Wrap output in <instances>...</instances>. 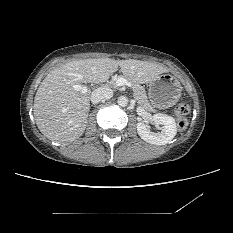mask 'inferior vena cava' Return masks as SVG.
Listing matches in <instances>:
<instances>
[{
    "label": "inferior vena cava",
    "mask_w": 233,
    "mask_h": 233,
    "mask_svg": "<svg viewBox=\"0 0 233 233\" xmlns=\"http://www.w3.org/2000/svg\"><path fill=\"white\" fill-rule=\"evenodd\" d=\"M113 91L108 87H100L95 89L90 97V100L93 104H97L102 100H108L112 98Z\"/></svg>",
    "instance_id": "inferior-vena-cava-1"
}]
</instances>
